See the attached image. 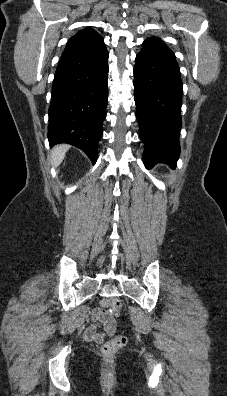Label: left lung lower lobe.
I'll return each mask as SVG.
<instances>
[{
  "label": "left lung lower lobe",
  "instance_id": "left-lung-lower-lobe-1",
  "mask_svg": "<svg viewBox=\"0 0 227 396\" xmlns=\"http://www.w3.org/2000/svg\"><path fill=\"white\" fill-rule=\"evenodd\" d=\"M134 100L145 144L144 164L175 167L179 156L182 82L174 53L157 37L144 41L134 67Z\"/></svg>",
  "mask_w": 227,
  "mask_h": 396
}]
</instances>
